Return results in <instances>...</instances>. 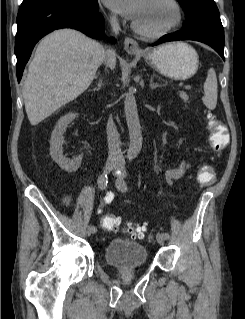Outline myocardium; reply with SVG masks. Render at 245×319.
<instances>
[{
	"mask_svg": "<svg viewBox=\"0 0 245 319\" xmlns=\"http://www.w3.org/2000/svg\"><path fill=\"white\" fill-rule=\"evenodd\" d=\"M173 7L175 11V18L174 20L167 26L160 28V29H146L141 27L138 23L135 21L132 22V28L140 35L149 37V38H158L162 37L164 35H167L168 33L172 32L175 30L182 22L183 20V10L181 5L177 0H167Z\"/></svg>",
	"mask_w": 245,
	"mask_h": 319,
	"instance_id": "1",
	"label": "myocardium"
}]
</instances>
